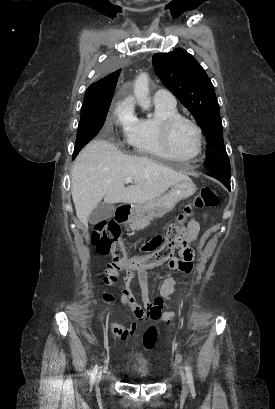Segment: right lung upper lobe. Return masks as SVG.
Here are the masks:
<instances>
[{
    "mask_svg": "<svg viewBox=\"0 0 275 409\" xmlns=\"http://www.w3.org/2000/svg\"><path fill=\"white\" fill-rule=\"evenodd\" d=\"M120 73H111L105 78L91 84L86 90L85 103L109 102L113 98Z\"/></svg>",
    "mask_w": 275,
    "mask_h": 409,
    "instance_id": "right-lung-upper-lobe-1",
    "label": "right lung upper lobe"
}]
</instances>
